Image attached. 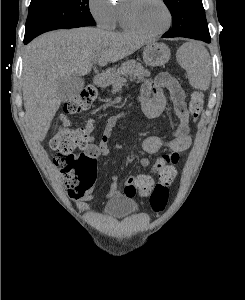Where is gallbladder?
<instances>
[{
	"label": "gallbladder",
	"instance_id": "bac80fb5",
	"mask_svg": "<svg viewBox=\"0 0 245 300\" xmlns=\"http://www.w3.org/2000/svg\"><path fill=\"white\" fill-rule=\"evenodd\" d=\"M84 87V79L77 75H70L58 80L57 94L63 102L78 97Z\"/></svg>",
	"mask_w": 245,
	"mask_h": 300
}]
</instances>
